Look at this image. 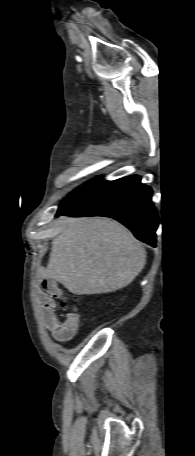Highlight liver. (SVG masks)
<instances>
[{"label":"liver","mask_w":195,"mask_h":456,"mask_svg":"<svg viewBox=\"0 0 195 456\" xmlns=\"http://www.w3.org/2000/svg\"><path fill=\"white\" fill-rule=\"evenodd\" d=\"M43 276L71 293H111L129 285L146 264V250L123 225L109 218L58 220Z\"/></svg>","instance_id":"1"}]
</instances>
